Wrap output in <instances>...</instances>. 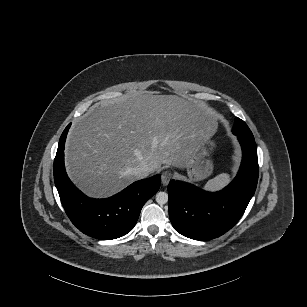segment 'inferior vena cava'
<instances>
[{
	"instance_id": "obj_1",
	"label": "inferior vena cava",
	"mask_w": 307,
	"mask_h": 307,
	"mask_svg": "<svg viewBox=\"0 0 307 307\" xmlns=\"http://www.w3.org/2000/svg\"><path fill=\"white\" fill-rule=\"evenodd\" d=\"M131 173L137 178V179H144L146 178L150 170L147 165H141L139 167H135L131 169Z\"/></svg>"
}]
</instances>
